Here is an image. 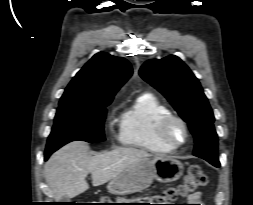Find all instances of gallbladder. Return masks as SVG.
I'll use <instances>...</instances> for the list:
<instances>
[{"label":"gallbladder","instance_id":"bac80fb5","mask_svg":"<svg viewBox=\"0 0 253 205\" xmlns=\"http://www.w3.org/2000/svg\"><path fill=\"white\" fill-rule=\"evenodd\" d=\"M62 199H63V202H66L68 200L67 197H63Z\"/></svg>","mask_w":253,"mask_h":205}]
</instances>
